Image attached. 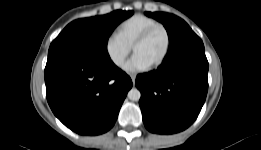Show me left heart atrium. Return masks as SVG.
Segmentation results:
<instances>
[{
  "label": "left heart atrium",
  "instance_id": "obj_1",
  "mask_svg": "<svg viewBox=\"0 0 261 150\" xmlns=\"http://www.w3.org/2000/svg\"><path fill=\"white\" fill-rule=\"evenodd\" d=\"M150 64L145 61L140 55L134 54L133 57L125 64L124 70L127 72H142L147 70Z\"/></svg>",
  "mask_w": 261,
  "mask_h": 150
}]
</instances>
